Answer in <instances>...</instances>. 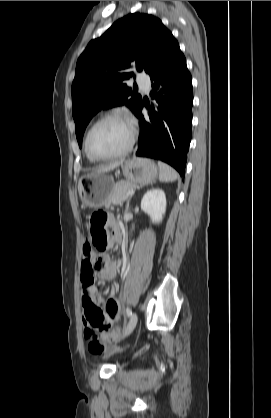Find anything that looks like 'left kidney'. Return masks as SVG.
Masks as SVG:
<instances>
[{"label":"left kidney","mask_w":271,"mask_h":418,"mask_svg":"<svg viewBox=\"0 0 271 418\" xmlns=\"http://www.w3.org/2000/svg\"><path fill=\"white\" fill-rule=\"evenodd\" d=\"M141 209L147 213L152 223H160L166 211V196L162 189L147 191L141 200Z\"/></svg>","instance_id":"1"}]
</instances>
